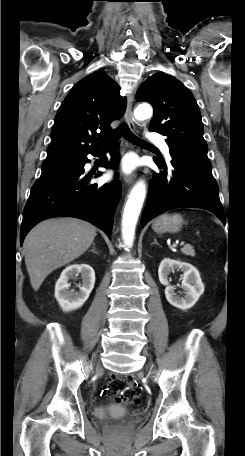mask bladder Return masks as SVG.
I'll return each mask as SVG.
<instances>
[{
  "mask_svg": "<svg viewBox=\"0 0 245 456\" xmlns=\"http://www.w3.org/2000/svg\"><path fill=\"white\" fill-rule=\"evenodd\" d=\"M129 413V410L121 405L110 404L96 407L95 416L99 419L120 418Z\"/></svg>",
  "mask_w": 245,
  "mask_h": 456,
  "instance_id": "31cf9c89",
  "label": "bladder"
}]
</instances>
